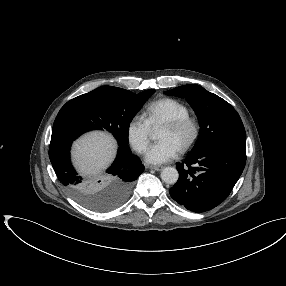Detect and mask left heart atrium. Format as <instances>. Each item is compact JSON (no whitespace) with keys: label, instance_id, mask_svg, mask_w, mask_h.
<instances>
[{"label":"left heart atrium","instance_id":"1","mask_svg":"<svg viewBox=\"0 0 286 286\" xmlns=\"http://www.w3.org/2000/svg\"><path fill=\"white\" fill-rule=\"evenodd\" d=\"M180 148L171 140H161L148 149L145 160L151 164H162L176 158Z\"/></svg>","mask_w":286,"mask_h":286}]
</instances>
